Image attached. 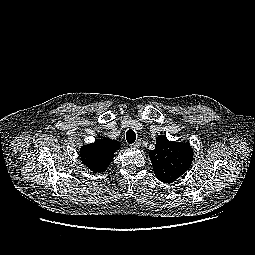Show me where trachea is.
Masks as SVG:
<instances>
[{"label": "trachea", "instance_id": "1", "mask_svg": "<svg viewBox=\"0 0 255 255\" xmlns=\"http://www.w3.org/2000/svg\"><path fill=\"white\" fill-rule=\"evenodd\" d=\"M126 140L129 144H133L136 140V133L132 130L129 129L126 133Z\"/></svg>", "mask_w": 255, "mask_h": 255}]
</instances>
